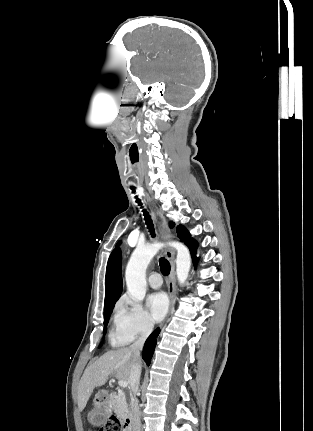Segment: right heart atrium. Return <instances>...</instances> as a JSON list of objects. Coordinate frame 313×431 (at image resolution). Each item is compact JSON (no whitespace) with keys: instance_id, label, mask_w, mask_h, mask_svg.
<instances>
[{"instance_id":"1","label":"right heart atrium","mask_w":313,"mask_h":431,"mask_svg":"<svg viewBox=\"0 0 313 431\" xmlns=\"http://www.w3.org/2000/svg\"><path fill=\"white\" fill-rule=\"evenodd\" d=\"M116 326L131 338L145 337L153 329V323L142 307L129 296H123L117 305Z\"/></svg>"}]
</instances>
